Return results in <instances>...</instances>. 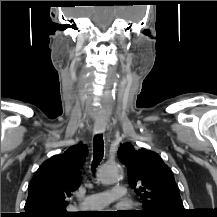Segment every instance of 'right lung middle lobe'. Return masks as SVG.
I'll return each instance as SVG.
<instances>
[{
	"instance_id": "dd1d6c3e",
	"label": "right lung middle lobe",
	"mask_w": 217,
	"mask_h": 217,
	"mask_svg": "<svg viewBox=\"0 0 217 217\" xmlns=\"http://www.w3.org/2000/svg\"><path fill=\"white\" fill-rule=\"evenodd\" d=\"M56 217H74V214H71V215H59V216H56Z\"/></svg>"
}]
</instances>
